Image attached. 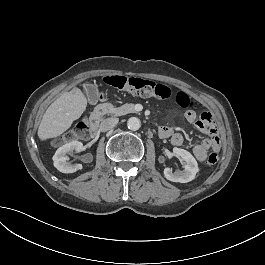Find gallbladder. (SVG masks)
Listing matches in <instances>:
<instances>
[{
  "instance_id": "obj_1",
  "label": "gallbladder",
  "mask_w": 265,
  "mask_h": 265,
  "mask_svg": "<svg viewBox=\"0 0 265 265\" xmlns=\"http://www.w3.org/2000/svg\"><path fill=\"white\" fill-rule=\"evenodd\" d=\"M84 91L88 96V100L91 104H96L98 102V88L93 85H85Z\"/></svg>"
}]
</instances>
